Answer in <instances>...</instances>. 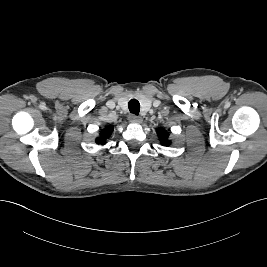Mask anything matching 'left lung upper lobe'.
<instances>
[{
  "label": "left lung upper lobe",
  "instance_id": "obj_1",
  "mask_svg": "<svg viewBox=\"0 0 267 267\" xmlns=\"http://www.w3.org/2000/svg\"><path fill=\"white\" fill-rule=\"evenodd\" d=\"M157 133H158V135H159V139H160V142H161L162 144H164V145H166V146L170 145L171 142L168 140V136H169V134H168V132H167L165 129H163V128H159V129L157 130Z\"/></svg>",
  "mask_w": 267,
  "mask_h": 267
}]
</instances>
